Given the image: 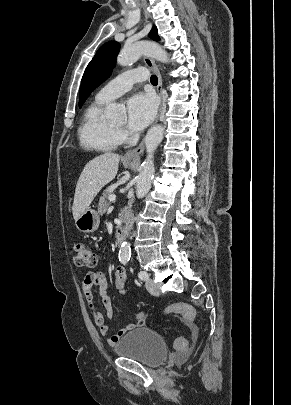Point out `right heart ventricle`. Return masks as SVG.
<instances>
[{
  "label": "right heart ventricle",
  "instance_id": "right-heart-ventricle-1",
  "mask_svg": "<svg viewBox=\"0 0 291 405\" xmlns=\"http://www.w3.org/2000/svg\"><path fill=\"white\" fill-rule=\"evenodd\" d=\"M108 101L95 98L86 108L78 130L82 147L97 152L115 150L120 142L116 128L103 117Z\"/></svg>",
  "mask_w": 291,
  "mask_h": 405
}]
</instances>
